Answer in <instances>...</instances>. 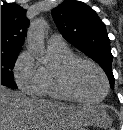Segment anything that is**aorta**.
<instances>
[{
  "label": "aorta",
  "instance_id": "762f6f07",
  "mask_svg": "<svg viewBox=\"0 0 123 130\" xmlns=\"http://www.w3.org/2000/svg\"><path fill=\"white\" fill-rule=\"evenodd\" d=\"M47 24L42 19L35 20L28 29L27 43L36 56L37 59L44 65H49L51 59L46 55L44 37L46 33Z\"/></svg>",
  "mask_w": 123,
  "mask_h": 130
}]
</instances>
